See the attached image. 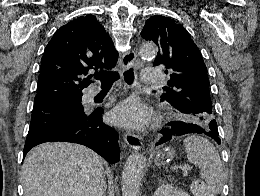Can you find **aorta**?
I'll list each match as a JSON object with an SVG mask.
<instances>
[{
	"label": "aorta",
	"instance_id": "1",
	"mask_svg": "<svg viewBox=\"0 0 260 196\" xmlns=\"http://www.w3.org/2000/svg\"><path fill=\"white\" fill-rule=\"evenodd\" d=\"M157 52V46L148 42L141 45L139 55L142 59H154ZM145 167L146 158L138 152L127 158L122 173V196H139Z\"/></svg>",
	"mask_w": 260,
	"mask_h": 196
}]
</instances>
